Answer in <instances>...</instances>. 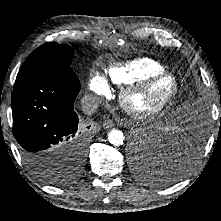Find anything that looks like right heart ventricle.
Returning a JSON list of instances; mask_svg holds the SVG:
<instances>
[{
	"instance_id": "1",
	"label": "right heart ventricle",
	"mask_w": 221,
	"mask_h": 221,
	"mask_svg": "<svg viewBox=\"0 0 221 221\" xmlns=\"http://www.w3.org/2000/svg\"><path fill=\"white\" fill-rule=\"evenodd\" d=\"M164 71L165 67L156 60L136 58L111 66L107 71V78L119 86H129Z\"/></svg>"
}]
</instances>
